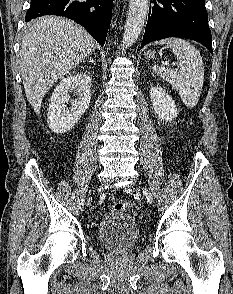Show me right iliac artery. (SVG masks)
Segmentation results:
<instances>
[{"mask_svg": "<svg viewBox=\"0 0 233 294\" xmlns=\"http://www.w3.org/2000/svg\"><path fill=\"white\" fill-rule=\"evenodd\" d=\"M91 200H92V197H90V198L88 199L87 205L90 204Z\"/></svg>", "mask_w": 233, "mask_h": 294, "instance_id": "1", "label": "right iliac artery"}]
</instances>
